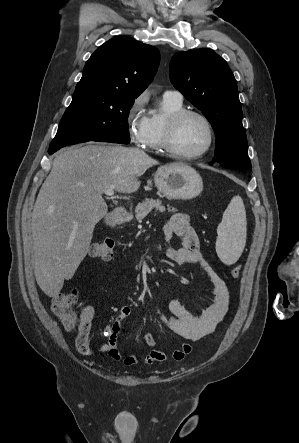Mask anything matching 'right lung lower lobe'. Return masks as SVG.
I'll return each mask as SVG.
<instances>
[{
    "label": "right lung lower lobe",
    "instance_id": "98d812e1",
    "mask_svg": "<svg viewBox=\"0 0 299 443\" xmlns=\"http://www.w3.org/2000/svg\"><path fill=\"white\" fill-rule=\"evenodd\" d=\"M87 141L122 143L121 141H119L117 139H114V138H110V137H97V138H92V139H88V140L79 141L77 143H83V142H87ZM59 149H60V147L49 148L48 153L51 155L54 152H56L57 150H59Z\"/></svg>",
    "mask_w": 299,
    "mask_h": 443
}]
</instances>
